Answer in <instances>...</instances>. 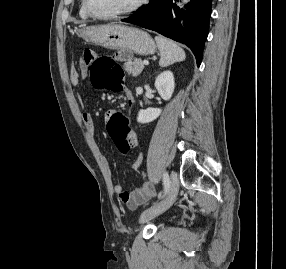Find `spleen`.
<instances>
[{
    "label": "spleen",
    "mask_w": 286,
    "mask_h": 269,
    "mask_svg": "<svg viewBox=\"0 0 286 269\" xmlns=\"http://www.w3.org/2000/svg\"><path fill=\"white\" fill-rule=\"evenodd\" d=\"M155 41L160 51L159 65L161 67L185 60V51L177 43L162 36H156Z\"/></svg>",
    "instance_id": "spleen-1"
}]
</instances>
